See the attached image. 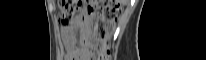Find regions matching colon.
<instances>
[{"instance_id":"1","label":"colon","mask_w":206,"mask_h":60,"mask_svg":"<svg viewBox=\"0 0 206 60\" xmlns=\"http://www.w3.org/2000/svg\"><path fill=\"white\" fill-rule=\"evenodd\" d=\"M83 11L89 15L97 14L98 21L95 36L83 43L82 55L88 60H108L109 40L122 12V7L117 0H98L95 1L94 6L86 9L82 1L62 0L60 1L59 20L63 24H71Z\"/></svg>"}]
</instances>
